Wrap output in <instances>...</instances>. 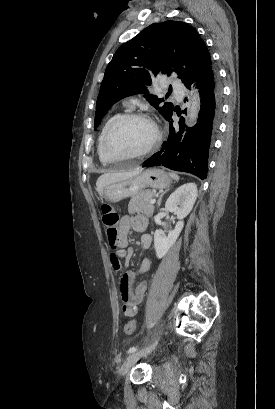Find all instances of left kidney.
Here are the masks:
<instances>
[{
	"label": "left kidney",
	"instance_id": "1",
	"mask_svg": "<svg viewBox=\"0 0 275 409\" xmlns=\"http://www.w3.org/2000/svg\"><path fill=\"white\" fill-rule=\"evenodd\" d=\"M196 198L197 184H195V182H186V184H182V186L176 188V190L170 194L169 198H167L165 209L170 211V213H175L179 221L176 223L174 231H171L168 237H165L164 233H161V231H155L154 245L156 257H158V259H163L169 249L173 247L175 241H177L184 227L182 219H185L190 211H192ZM178 205H180V207H178Z\"/></svg>",
	"mask_w": 275,
	"mask_h": 409
}]
</instances>
